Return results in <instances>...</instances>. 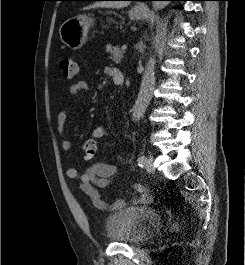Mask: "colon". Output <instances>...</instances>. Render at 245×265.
<instances>
[{"label":"colon","mask_w":245,"mask_h":265,"mask_svg":"<svg viewBox=\"0 0 245 265\" xmlns=\"http://www.w3.org/2000/svg\"><path fill=\"white\" fill-rule=\"evenodd\" d=\"M59 67L62 71V74L67 79H72L77 74V64L71 58H62L59 62ZM84 159L86 161L92 160L97 153V145L93 141H87L84 143L83 147Z\"/></svg>","instance_id":"5ec220e1"}]
</instances>
